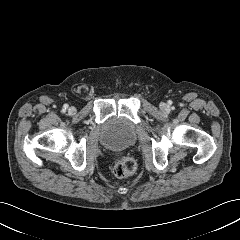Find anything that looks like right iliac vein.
Segmentation results:
<instances>
[{"mask_svg":"<svg viewBox=\"0 0 240 240\" xmlns=\"http://www.w3.org/2000/svg\"><path fill=\"white\" fill-rule=\"evenodd\" d=\"M68 112H69V114H75L76 108L71 106V107H69Z\"/></svg>","mask_w":240,"mask_h":240,"instance_id":"right-iliac-vein-1","label":"right iliac vein"}]
</instances>
